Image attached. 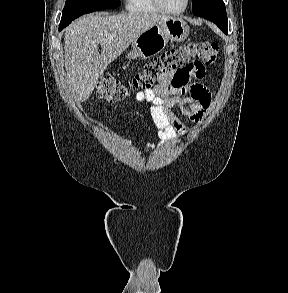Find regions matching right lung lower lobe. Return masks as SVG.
<instances>
[{
    "instance_id": "obj_1",
    "label": "right lung lower lobe",
    "mask_w": 288,
    "mask_h": 293,
    "mask_svg": "<svg viewBox=\"0 0 288 293\" xmlns=\"http://www.w3.org/2000/svg\"><path fill=\"white\" fill-rule=\"evenodd\" d=\"M62 30V28H59V31H61Z\"/></svg>"
}]
</instances>
